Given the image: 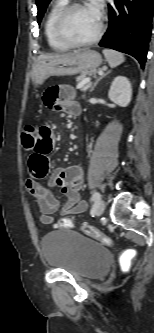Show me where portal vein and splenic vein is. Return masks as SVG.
<instances>
[{
  "instance_id": "18ae733b",
  "label": "portal vein and splenic vein",
  "mask_w": 154,
  "mask_h": 333,
  "mask_svg": "<svg viewBox=\"0 0 154 333\" xmlns=\"http://www.w3.org/2000/svg\"><path fill=\"white\" fill-rule=\"evenodd\" d=\"M98 74H99L100 76L103 75V70H100V71L98 72ZM88 82H90V79H85V80H83L80 84H78L77 88H78V89H81L82 91L86 90L87 87H85L84 85H85L86 83H88Z\"/></svg>"
}]
</instances>
